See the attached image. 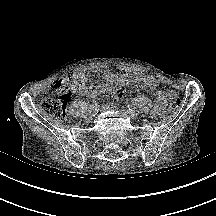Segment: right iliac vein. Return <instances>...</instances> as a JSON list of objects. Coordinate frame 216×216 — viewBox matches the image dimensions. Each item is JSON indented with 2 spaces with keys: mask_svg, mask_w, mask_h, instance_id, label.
I'll list each match as a JSON object with an SVG mask.
<instances>
[{
  "mask_svg": "<svg viewBox=\"0 0 216 216\" xmlns=\"http://www.w3.org/2000/svg\"><path fill=\"white\" fill-rule=\"evenodd\" d=\"M94 116H95V113H94L93 111H89V112L86 114L85 118H86L87 120H92V119L94 118Z\"/></svg>",
  "mask_w": 216,
  "mask_h": 216,
  "instance_id": "1",
  "label": "right iliac vein"
}]
</instances>
